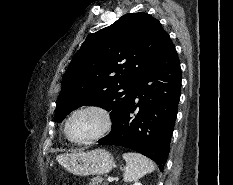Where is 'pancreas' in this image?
<instances>
[{
  "mask_svg": "<svg viewBox=\"0 0 233 185\" xmlns=\"http://www.w3.org/2000/svg\"><path fill=\"white\" fill-rule=\"evenodd\" d=\"M89 185H108V183L104 181L103 177L97 176L91 179Z\"/></svg>",
  "mask_w": 233,
  "mask_h": 185,
  "instance_id": "1",
  "label": "pancreas"
}]
</instances>
